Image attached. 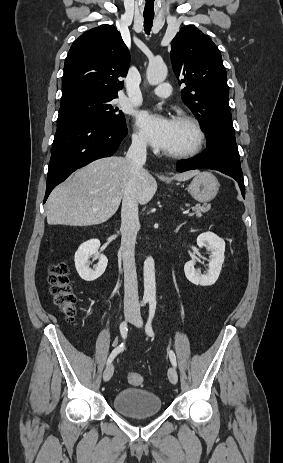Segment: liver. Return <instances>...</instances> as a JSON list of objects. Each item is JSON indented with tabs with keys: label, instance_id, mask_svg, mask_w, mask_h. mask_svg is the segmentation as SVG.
I'll list each match as a JSON object with an SVG mask.
<instances>
[{
	"label": "liver",
	"instance_id": "1",
	"mask_svg": "<svg viewBox=\"0 0 283 463\" xmlns=\"http://www.w3.org/2000/svg\"><path fill=\"white\" fill-rule=\"evenodd\" d=\"M198 170L175 174L172 179L186 181ZM131 178V167L124 157L98 159L78 169L47 200L49 225L91 226L109 220L118 210ZM157 190L153 176L143 169L137 185V200L147 204Z\"/></svg>",
	"mask_w": 283,
	"mask_h": 463
}]
</instances>
